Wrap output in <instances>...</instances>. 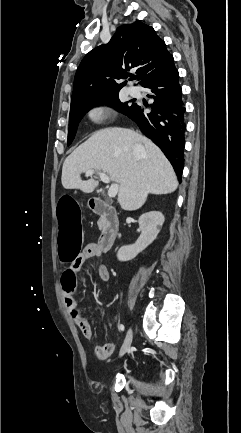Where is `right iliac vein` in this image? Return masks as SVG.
<instances>
[{"label": "right iliac vein", "instance_id": "right-iliac-vein-1", "mask_svg": "<svg viewBox=\"0 0 241 433\" xmlns=\"http://www.w3.org/2000/svg\"><path fill=\"white\" fill-rule=\"evenodd\" d=\"M132 338H133V332H132V329L130 328L127 331L124 343L120 349V353H119L120 357H122L129 350L131 343H132Z\"/></svg>", "mask_w": 241, "mask_h": 433}]
</instances>
